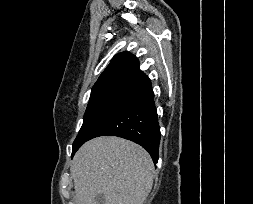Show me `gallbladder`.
Listing matches in <instances>:
<instances>
[{"mask_svg": "<svg viewBox=\"0 0 253 204\" xmlns=\"http://www.w3.org/2000/svg\"><path fill=\"white\" fill-rule=\"evenodd\" d=\"M97 204H105V198L102 194H99L95 197Z\"/></svg>", "mask_w": 253, "mask_h": 204, "instance_id": "bac80fb5", "label": "gallbladder"}]
</instances>
